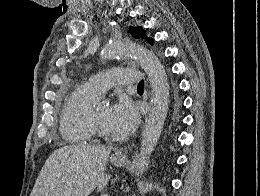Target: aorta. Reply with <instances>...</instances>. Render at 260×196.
<instances>
[{"instance_id":"obj_1","label":"aorta","mask_w":260,"mask_h":196,"mask_svg":"<svg viewBox=\"0 0 260 196\" xmlns=\"http://www.w3.org/2000/svg\"><path fill=\"white\" fill-rule=\"evenodd\" d=\"M103 59L134 57L148 75L152 88V106L142 133L140 153L133 159L135 174L142 175L149 167L150 155L160 137L169 103V84L165 69L154 53L127 41L113 42L101 52Z\"/></svg>"}]
</instances>
